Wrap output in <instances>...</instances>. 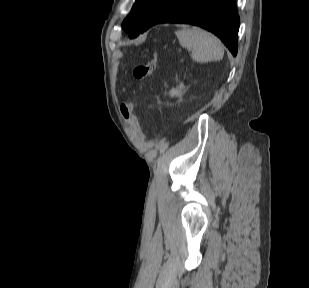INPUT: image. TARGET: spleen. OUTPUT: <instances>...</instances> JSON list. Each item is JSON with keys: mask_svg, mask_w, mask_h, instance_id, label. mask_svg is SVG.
Segmentation results:
<instances>
[{"mask_svg": "<svg viewBox=\"0 0 309 288\" xmlns=\"http://www.w3.org/2000/svg\"><path fill=\"white\" fill-rule=\"evenodd\" d=\"M179 43L192 49V59L199 63L220 61L224 49L220 40L211 33L198 27L182 29L176 32Z\"/></svg>", "mask_w": 309, "mask_h": 288, "instance_id": "3e777b00", "label": "spleen"}]
</instances>
